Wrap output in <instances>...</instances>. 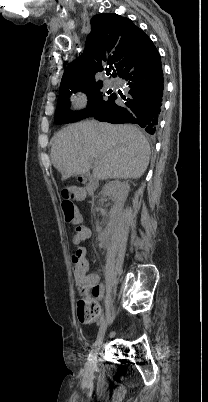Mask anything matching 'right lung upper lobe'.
<instances>
[{"label":"right lung upper lobe","instance_id":"right-lung-upper-lobe-1","mask_svg":"<svg viewBox=\"0 0 208 402\" xmlns=\"http://www.w3.org/2000/svg\"><path fill=\"white\" fill-rule=\"evenodd\" d=\"M144 32L133 22L115 13L98 14L91 19V32L81 56L63 73L60 91L95 81L107 64L117 76L122 60L131 52Z\"/></svg>","mask_w":208,"mask_h":402}]
</instances>
